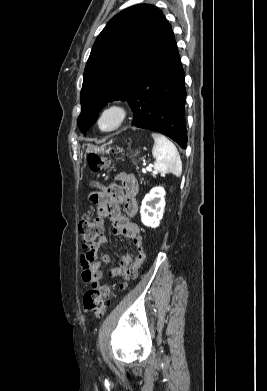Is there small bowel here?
<instances>
[{"label": "small bowel", "instance_id": "c3829d8e", "mask_svg": "<svg viewBox=\"0 0 267 391\" xmlns=\"http://www.w3.org/2000/svg\"><path fill=\"white\" fill-rule=\"evenodd\" d=\"M119 180L120 185L114 184L93 193L90 199L96 204L99 217L111 221L112 232L115 235H122L131 239L137 247L135 257L129 253L121 254L119 265L110 269L108 273L110 278L125 280L120 285L123 289L126 286V280L136 277L146 254L143 250V237L140 227L131 220L138 212L136 196L139 188L137 180L133 175L126 173H122ZM105 244H107V237H99L94 247L84 252L80 257L82 279L92 288H96L103 278L102 266L110 262L108 255H98V250Z\"/></svg>", "mask_w": 267, "mask_h": 391}]
</instances>
